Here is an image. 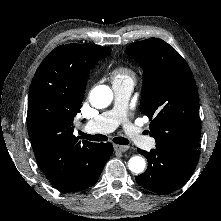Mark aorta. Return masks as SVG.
Wrapping results in <instances>:
<instances>
[{"label": "aorta", "mask_w": 221, "mask_h": 221, "mask_svg": "<svg viewBox=\"0 0 221 221\" xmlns=\"http://www.w3.org/2000/svg\"><path fill=\"white\" fill-rule=\"evenodd\" d=\"M113 99L112 90L105 85L95 87L90 93V103L97 109L106 108ZM146 161L141 156H133L128 161V168L135 174H140L144 171Z\"/></svg>", "instance_id": "762f6f07"}]
</instances>
